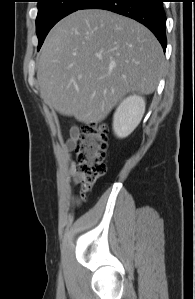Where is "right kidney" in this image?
<instances>
[{"label":"right kidney","mask_w":195,"mask_h":299,"mask_svg":"<svg viewBox=\"0 0 195 299\" xmlns=\"http://www.w3.org/2000/svg\"><path fill=\"white\" fill-rule=\"evenodd\" d=\"M145 112V99L130 95L122 100L113 116V131L118 138L130 135L140 123Z\"/></svg>","instance_id":"right-kidney-1"}]
</instances>
